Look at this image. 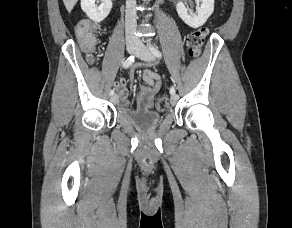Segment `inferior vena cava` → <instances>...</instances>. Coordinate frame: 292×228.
<instances>
[{"label":"inferior vena cava","mask_w":292,"mask_h":228,"mask_svg":"<svg viewBox=\"0 0 292 228\" xmlns=\"http://www.w3.org/2000/svg\"><path fill=\"white\" fill-rule=\"evenodd\" d=\"M136 0H126V10H125V34L126 40L139 42L136 36Z\"/></svg>","instance_id":"602c4592"}]
</instances>
